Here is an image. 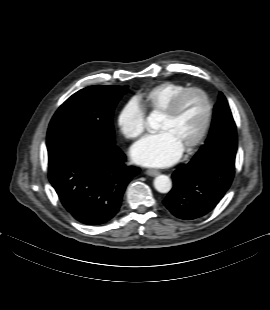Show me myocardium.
Masks as SVG:
<instances>
[{
    "label": "myocardium",
    "mask_w": 270,
    "mask_h": 310,
    "mask_svg": "<svg viewBox=\"0 0 270 310\" xmlns=\"http://www.w3.org/2000/svg\"><path fill=\"white\" fill-rule=\"evenodd\" d=\"M191 93H198L202 96L205 102L206 113H205L204 123H203L200 133L189 144V146L183 150V152L186 154H189L193 152L195 149H197L202 144V142L205 140L209 132L211 122H212V116H213V105H212L209 95L202 88L188 87L182 90L181 92H179L178 94H176L171 99V101L166 106V108L161 112V115L165 117L166 119H172L178 113L181 102L184 99V97Z\"/></svg>",
    "instance_id": "f54148a6"
}]
</instances>
